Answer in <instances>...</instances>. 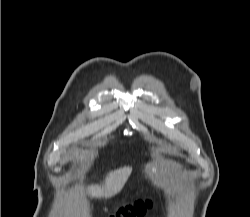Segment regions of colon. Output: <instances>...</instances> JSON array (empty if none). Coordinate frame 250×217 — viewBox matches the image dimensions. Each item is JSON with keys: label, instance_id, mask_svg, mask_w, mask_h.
<instances>
[{"label": "colon", "instance_id": "5ec220e1", "mask_svg": "<svg viewBox=\"0 0 250 217\" xmlns=\"http://www.w3.org/2000/svg\"><path fill=\"white\" fill-rule=\"evenodd\" d=\"M149 201L138 200L121 205L110 217H141L150 207Z\"/></svg>", "mask_w": 250, "mask_h": 217}]
</instances>
